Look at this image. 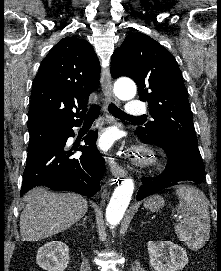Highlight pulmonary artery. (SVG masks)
Listing matches in <instances>:
<instances>
[{"mask_svg": "<svg viewBox=\"0 0 221 271\" xmlns=\"http://www.w3.org/2000/svg\"><path fill=\"white\" fill-rule=\"evenodd\" d=\"M146 102H129V107L127 108V117H134V112H145Z\"/></svg>", "mask_w": 221, "mask_h": 271, "instance_id": "pulmonary-artery-1", "label": "pulmonary artery"}]
</instances>
